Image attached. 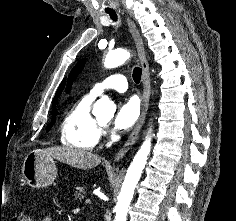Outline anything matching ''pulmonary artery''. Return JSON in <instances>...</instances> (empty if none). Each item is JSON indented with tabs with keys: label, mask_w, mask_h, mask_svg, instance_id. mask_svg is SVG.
Returning <instances> with one entry per match:
<instances>
[{
	"label": "pulmonary artery",
	"mask_w": 236,
	"mask_h": 221,
	"mask_svg": "<svg viewBox=\"0 0 236 221\" xmlns=\"http://www.w3.org/2000/svg\"><path fill=\"white\" fill-rule=\"evenodd\" d=\"M128 88L127 79L120 73L112 74L106 77L101 82L97 83L90 91L92 97H97L103 92L109 89L116 90L118 92H125Z\"/></svg>",
	"instance_id": "pulmonary-artery-1"
}]
</instances>
